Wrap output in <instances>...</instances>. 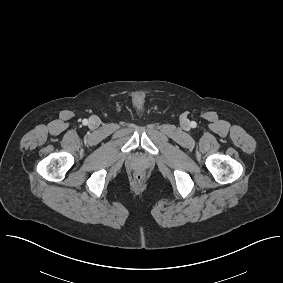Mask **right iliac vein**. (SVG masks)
Segmentation results:
<instances>
[{
    "mask_svg": "<svg viewBox=\"0 0 283 283\" xmlns=\"http://www.w3.org/2000/svg\"><path fill=\"white\" fill-rule=\"evenodd\" d=\"M100 124V121L99 119L96 117V116H93L89 119V122H88V125L91 127V128H96L98 127Z\"/></svg>",
    "mask_w": 283,
    "mask_h": 283,
    "instance_id": "obj_1",
    "label": "right iliac vein"
}]
</instances>
